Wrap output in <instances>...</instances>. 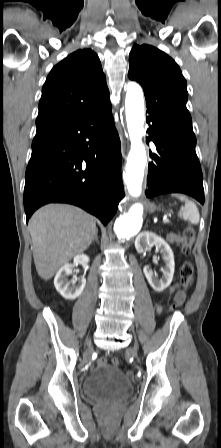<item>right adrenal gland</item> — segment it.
I'll return each mask as SVG.
<instances>
[{
  "instance_id": "2a0ac1e0",
  "label": "right adrenal gland",
  "mask_w": 221,
  "mask_h": 448,
  "mask_svg": "<svg viewBox=\"0 0 221 448\" xmlns=\"http://www.w3.org/2000/svg\"><path fill=\"white\" fill-rule=\"evenodd\" d=\"M94 241H96L97 243H99V240H98V230L96 231V233H95V237H94V239H93V242Z\"/></svg>"
}]
</instances>
